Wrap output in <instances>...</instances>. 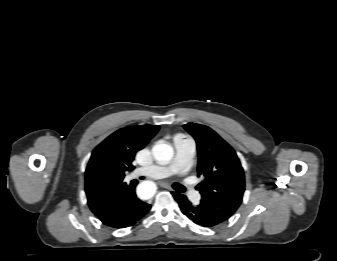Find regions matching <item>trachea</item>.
<instances>
[{
  "mask_svg": "<svg viewBox=\"0 0 337 261\" xmlns=\"http://www.w3.org/2000/svg\"><path fill=\"white\" fill-rule=\"evenodd\" d=\"M175 190L179 191V192H184L185 191V187L180 185V184H176L174 186Z\"/></svg>",
  "mask_w": 337,
  "mask_h": 261,
  "instance_id": "trachea-1",
  "label": "trachea"
}]
</instances>
